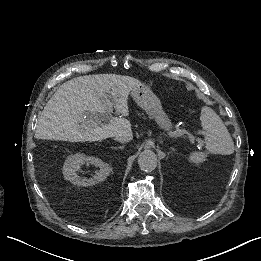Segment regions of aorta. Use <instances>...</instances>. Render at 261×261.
I'll return each mask as SVG.
<instances>
[{
  "label": "aorta",
  "mask_w": 261,
  "mask_h": 261,
  "mask_svg": "<svg viewBox=\"0 0 261 261\" xmlns=\"http://www.w3.org/2000/svg\"><path fill=\"white\" fill-rule=\"evenodd\" d=\"M138 164L141 170L151 172L157 167V156L153 151L145 150L139 155Z\"/></svg>",
  "instance_id": "obj_1"
}]
</instances>
